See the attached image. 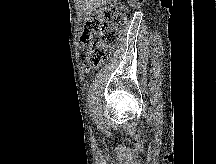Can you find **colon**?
Wrapping results in <instances>:
<instances>
[{
	"label": "colon",
	"mask_w": 216,
	"mask_h": 164,
	"mask_svg": "<svg viewBox=\"0 0 216 164\" xmlns=\"http://www.w3.org/2000/svg\"><path fill=\"white\" fill-rule=\"evenodd\" d=\"M125 23V9L116 5L101 8L87 18L80 43L88 47L86 59L89 69L98 68L108 60Z\"/></svg>",
	"instance_id": "1"
}]
</instances>
